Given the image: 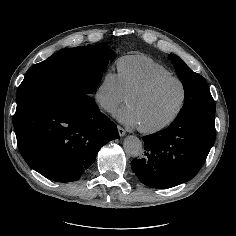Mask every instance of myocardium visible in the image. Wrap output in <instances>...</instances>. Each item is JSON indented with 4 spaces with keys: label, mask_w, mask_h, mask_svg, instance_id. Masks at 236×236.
Returning a JSON list of instances; mask_svg holds the SVG:
<instances>
[{
    "label": "myocardium",
    "mask_w": 236,
    "mask_h": 236,
    "mask_svg": "<svg viewBox=\"0 0 236 236\" xmlns=\"http://www.w3.org/2000/svg\"><path fill=\"white\" fill-rule=\"evenodd\" d=\"M168 81H175V82L179 83L182 88V98H181V102H180L177 110L174 112V114L170 118H168L164 122H162L158 125H155L153 127H142V126L138 125V129L140 132L145 133V134H155V133H158L162 130H165L166 128L170 127L173 123H175V121L179 118V116L183 112L185 105H186V101H187V95H188L187 86L184 83V81L177 76H162V77H158V78L153 79L152 81H150L146 85L133 91L128 96L127 104H129L132 99L146 95L147 93L152 91L154 88H156L160 84L168 82Z\"/></svg>",
    "instance_id": "obj_1"
}]
</instances>
